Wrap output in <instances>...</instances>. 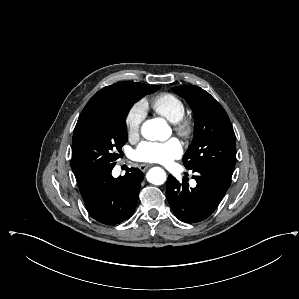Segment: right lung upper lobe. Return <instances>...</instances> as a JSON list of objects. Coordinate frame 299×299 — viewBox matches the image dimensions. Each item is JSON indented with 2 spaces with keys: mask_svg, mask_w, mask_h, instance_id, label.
I'll list each match as a JSON object with an SVG mask.
<instances>
[{
  "mask_svg": "<svg viewBox=\"0 0 299 299\" xmlns=\"http://www.w3.org/2000/svg\"><path fill=\"white\" fill-rule=\"evenodd\" d=\"M145 84L137 82H119L98 91L86 104L79 116L74 131L79 129L89 118L106 104L116 99L136 96Z\"/></svg>",
  "mask_w": 299,
  "mask_h": 299,
  "instance_id": "right-lung-upper-lobe-1",
  "label": "right lung upper lobe"
}]
</instances>
